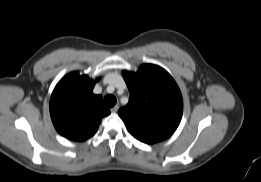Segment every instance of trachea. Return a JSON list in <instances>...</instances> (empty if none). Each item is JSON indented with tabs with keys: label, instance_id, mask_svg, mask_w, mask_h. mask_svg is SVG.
<instances>
[{
	"label": "trachea",
	"instance_id": "obj_1",
	"mask_svg": "<svg viewBox=\"0 0 261 182\" xmlns=\"http://www.w3.org/2000/svg\"><path fill=\"white\" fill-rule=\"evenodd\" d=\"M104 103L107 107H113L116 104V98L113 95H107L104 98Z\"/></svg>",
	"mask_w": 261,
	"mask_h": 182
}]
</instances>
